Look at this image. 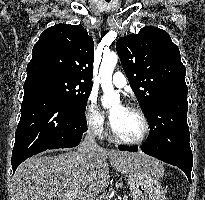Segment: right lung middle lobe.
Instances as JSON below:
<instances>
[{
  "label": "right lung middle lobe",
  "instance_id": "1",
  "mask_svg": "<svg viewBox=\"0 0 205 200\" xmlns=\"http://www.w3.org/2000/svg\"><path fill=\"white\" fill-rule=\"evenodd\" d=\"M38 86L56 93L69 106L85 112L87 100L92 89L91 84L83 83L58 74H42L26 79L24 88Z\"/></svg>",
  "mask_w": 205,
  "mask_h": 200
}]
</instances>
